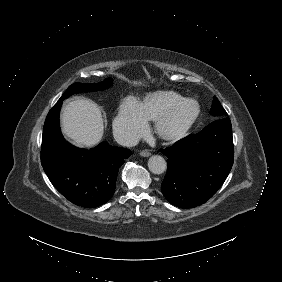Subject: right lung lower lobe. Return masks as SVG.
<instances>
[{"label": "right lung lower lobe", "mask_w": 282, "mask_h": 282, "mask_svg": "<svg viewBox=\"0 0 282 282\" xmlns=\"http://www.w3.org/2000/svg\"><path fill=\"white\" fill-rule=\"evenodd\" d=\"M58 100L48 113L42 136L41 164L53 186L72 203L98 207L114 194L119 168L132 152L103 142L91 150L66 142L59 127Z\"/></svg>", "instance_id": "right-lung-lower-lobe-1"}]
</instances>
